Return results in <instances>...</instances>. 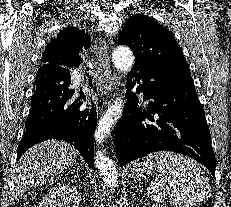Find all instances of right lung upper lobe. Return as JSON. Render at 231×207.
<instances>
[{
	"label": "right lung upper lobe",
	"mask_w": 231,
	"mask_h": 207,
	"mask_svg": "<svg viewBox=\"0 0 231 207\" xmlns=\"http://www.w3.org/2000/svg\"><path fill=\"white\" fill-rule=\"evenodd\" d=\"M89 41L87 37H77L62 30L46 46L41 61L43 65L78 67L82 60L80 54L85 45H90Z\"/></svg>",
	"instance_id": "1"
}]
</instances>
